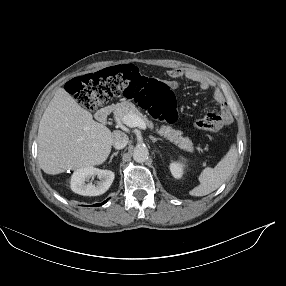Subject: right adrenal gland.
I'll use <instances>...</instances> for the list:
<instances>
[{
	"instance_id": "1",
	"label": "right adrenal gland",
	"mask_w": 286,
	"mask_h": 286,
	"mask_svg": "<svg viewBox=\"0 0 286 286\" xmlns=\"http://www.w3.org/2000/svg\"><path fill=\"white\" fill-rule=\"evenodd\" d=\"M118 153H119V151L114 152V153L110 156V160H109V162H111V161H112V159H113V157H114V156H117V155H118Z\"/></svg>"
}]
</instances>
